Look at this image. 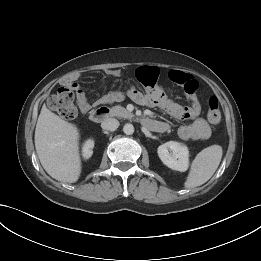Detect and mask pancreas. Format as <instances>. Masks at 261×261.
<instances>
[{"label": "pancreas", "instance_id": "obj_1", "mask_svg": "<svg viewBox=\"0 0 261 261\" xmlns=\"http://www.w3.org/2000/svg\"><path fill=\"white\" fill-rule=\"evenodd\" d=\"M112 115L123 118H132L133 114L128 112L124 107L114 106L112 108Z\"/></svg>", "mask_w": 261, "mask_h": 261}]
</instances>
